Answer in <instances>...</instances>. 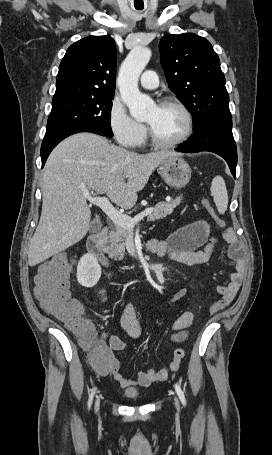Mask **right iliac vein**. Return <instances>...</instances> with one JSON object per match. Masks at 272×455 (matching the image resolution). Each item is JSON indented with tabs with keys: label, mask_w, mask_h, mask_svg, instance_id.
<instances>
[{
	"label": "right iliac vein",
	"mask_w": 272,
	"mask_h": 455,
	"mask_svg": "<svg viewBox=\"0 0 272 455\" xmlns=\"http://www.w3.org/2000/svg\"><path fill=\"white\" fill-rule=\"evenodd\" d=\"M99 408V399L96 400V404H95V409L98 410Z\"/></svg>",
	"instance_id": "63e3f726"
}]
</instances>
